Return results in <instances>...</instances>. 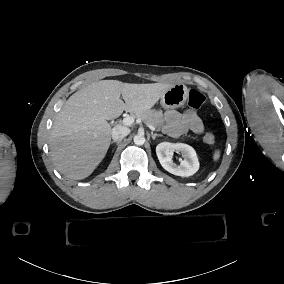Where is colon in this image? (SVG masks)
Returning a JSON list of instances; mask_svg holds the SVG:
<instances>
[{
	"mask_svg": "<svg viewBox=\"0 0 284 284\" xmlns=\"http://www.w3.org/2000/svg\"><path fill=\"white\" fill-rule=\"evenodd\" d=\"M205 103L204 95L197 89H190L188 94V106L192 109H199ZM203 140L207 144H212L214 142V135L211 133H206L203 136Z\"/></svg>",
	"mask_w": 284,
	"mask_h": 284,
	"instance_id": "1",
	"label": "colon"
}]
</instances>
